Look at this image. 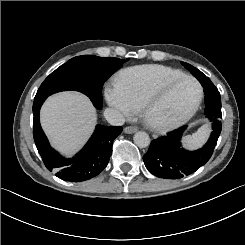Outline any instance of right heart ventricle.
Returning a JSON list of instances; mask_svg holds the SVG:
<instances>
[{"mask_svg":"<svg viewBox=\"0 0 245 245\" xmlns=\"http://www.w3.org/2000/svg\"><path fill=\"white\" fill-rule=\"evenodd\" d=\"M183 73L165 66L146 65L131 69L114 81L113 87L134 107H139L147 88L156 80L182 76Z\"/></svg>","mask_w":245,"mask_h":245,"instance_id":"1","label":"right heart ventricle"}]
</instances>
